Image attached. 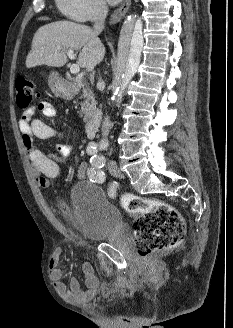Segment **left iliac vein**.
<instances>
[{
    "label": "left iliac vein",
    "mask_w": 233,
    "mask_h": 328,
    "mask_svg": "<svg viewBox=\"0 0 233 328\" xmlns=\"http://www.w3.org/2000/svg\"><path fill=\"white\" fill-rule=\"evenodd\" d=\"M107 166H108L109 172L114 177H117V178H123L124 177L123 173L121 172V170L119 169L117 163L114 160H109Z\"/></svg>",
    "instance_id": "4c4485c4"
}]
</instances>
